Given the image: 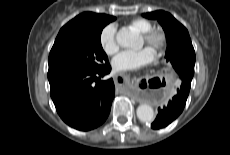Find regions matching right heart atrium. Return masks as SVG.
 <instances>
[{
	"label": "right heart atrium",
	"mask_w": 230,
	"mask_h": 155,
	"mask_svg": "<svg viewBox=\"0 0 230 155\" xmlns=\"http://www.w3.org/2000/svg\"><path fill=\"white\" fill-rule=\"evenodd\" d=\"M99 43L107 55H113L118 51L119 45L116 39V28L114 25L110 24L102 29L99 35Z\"/></svg>",
	"instance_id": "1"
}]
</instances>
